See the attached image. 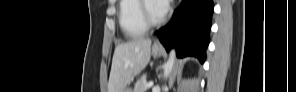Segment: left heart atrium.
Instances as JSON below:
<instances>
[{"instance_id": "obj_1", "label": "left heart atrium", "mask_w": 296, "mask_h": 92, "mask_svg": "<svg viewBox=\"0 0 296 92\" xmlns=\"http://www.w3.org/2000/svg\"><path fill=\"white\" fill-rule=\"evenodd\" d=\"M154 8H155V11L157 12V14L160 17H162V16H164L166 14V12L169 9V1H165V0L155 1L154 2Z\"/></svg>"}]
</instances>
